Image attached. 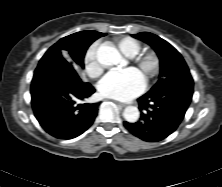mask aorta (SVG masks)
<instances>
[{
	"instance_id": "obj_1",
	"label": "aorta",
	"mask_w": 222,
	"mask_h": 187,
	"mask_svg": "<svg viewBox=\"0 0 222 187\" xmlns=\"http://www.w3.org/2000/svg\"><path fill=\"white\" fill-rule=\"evenodd\" d=\"M97 61L102 66L117 65L122 61L119 51L111 45H102L97 50ZM124 119L129 123H135L140 117V112L135 106H127L123 112Z\"/></svg>"
}]
</instances>
